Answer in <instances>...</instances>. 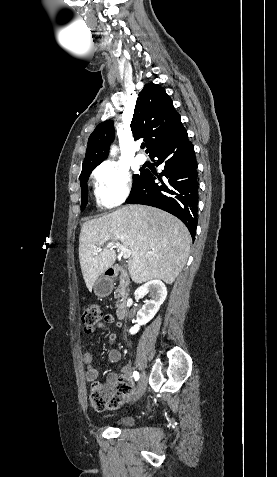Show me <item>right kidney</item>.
<instances>
[{
	"mask_svg": "<svg viewBox=\"0 0 277 477\" xmlns=\"http://www.w3.org/2000/svg\"><path fill=\"white\" fill-rule=\"evenodd\" d=\"M147 293L150 294L151 299L147 300L137 314V324L130 328V334H135L139 331L141 325L148 323L158 312L160 306L166 299L167 289L165 284L160 280H151L136 289L134 295L137 298H142Z\"/></svg>",
	"mask_w": 277,
	"mask_h": 477,
	"instance_id": "obj_1",
	"label": "right kidney"
}]
</instances>
